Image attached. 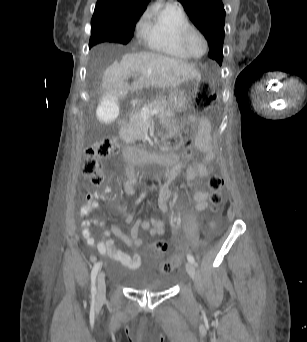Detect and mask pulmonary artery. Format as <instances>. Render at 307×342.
<instances>
[{"label": "pulmonary artery", "mask_w": 307, "mask_h": 342, "mask_svg": "<svg viewBox=\"0 0 307 342\" xmlns=\"http://www.w3.org/2000/svg\"><path fill=\"white\" fill-rule=\"evenodd\" d=\"M168 4L173 5V6H177V5H180V1H168ZM153 14L161 17L163 14V11H159L158 9H154Z\"/></svg>", "instance_id": "1"}]
</instances>
